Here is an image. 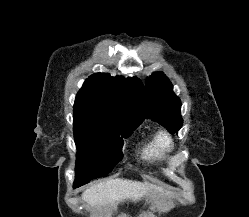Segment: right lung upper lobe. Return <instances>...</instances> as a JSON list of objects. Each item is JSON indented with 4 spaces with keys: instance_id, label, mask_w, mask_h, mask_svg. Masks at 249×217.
<instances>
[{
    "instance_id": "obj_1",
    "label": "right lung upper lobe",
    "mask_w": 249,
    "mask_h": 217,
    "mask_svg": "<svg viewBox=\"0 0 249 217\" xmlns=\"http://www.w3.org/2000/svg\"><path fill=\"white\" fill-rule=\"evenodd\" d=\"M74 106L90 107L130 126H138L145 118L144 88L136 77L95 73L84 82Z\"/></svg>"
}]
</instances>
